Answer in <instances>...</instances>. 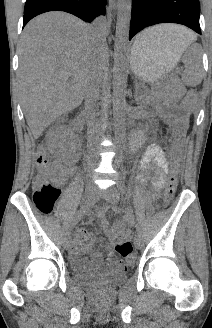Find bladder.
I'll return each mask as SVG.
<instances>
[{"label": "bladder", "instance_id": "1", "mask_svg": "<svg viewBox=\"0 0 212 328\" xmlns=\"http://www.w3.org/2000/svg\"><path fill=\"white\" fill-rule=\"evenodd\" d=\"M71 268L73 279L86 287H113L124 283L127 279V274L123 272H112L103 276L91 273L84 257L74 258Z\"/></svg>", "mask_w": 212, "mask_h": 328}]
</instances>
